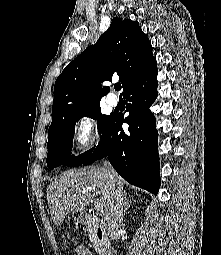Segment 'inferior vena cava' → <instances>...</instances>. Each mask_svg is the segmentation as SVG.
<instances>
[{"instance_id": "inferior-vena-cava-1", "label": "inferior vena cava", "mask_w": 221, "mask_h": 255, "mask_svg": "<svg viewBox=\"0 0 221 255\" xmlns=\"http://www.w3.org/2000/svg\"><path fill=\"white\" fill-rule=\"evenodd\" d=\"M103 170L109 180H113L115 171L108 160L103 161ZM106 231L112 240L117 238L118 229L123 221V192L120 186L113 189L112 197L105 210Z\"/></svg>"}]
</instances>
